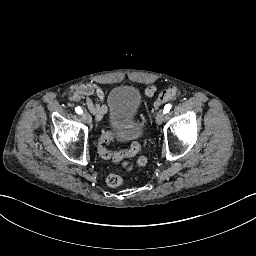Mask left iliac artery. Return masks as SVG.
<instances>
[{
    "mask_svg": "<svg viewBox=\"0 0 256 256\" xmlns=\"http://www.w3.org/2000/svg\"><path fill=\"white\" fill-rule=\"evenodd\" d=\"M171 107H172L171 104H166V105L164 106V110H163L164 113H165V114L168 113V112L170 111Z\"/></svg>",
    "mask_w": 256,
    "mask_h": 256,
    "instance_id": "1",
    "label": "left iliac artery"
}]
</instances>
